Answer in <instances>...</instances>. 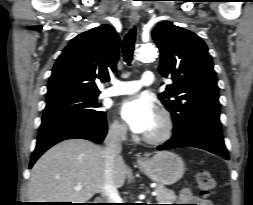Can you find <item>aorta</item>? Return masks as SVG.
Wrapping results in <instances>:
<instances>
[{"label": "aorta", "instance_id": "obj_1", "mask_svg": "<svg viewBox=\"0 0 253 205\" xmlns=\"http://www.w3.org/2000/svg\"><path fill=\"white\" fill-rule=\"evenodd\" d=\"M157 48L150 43L143 44L137 51V56L144 62H151L157 58Z\"/></svg>", "mask_w": 253, "mask_h": 205}]
</instances>
